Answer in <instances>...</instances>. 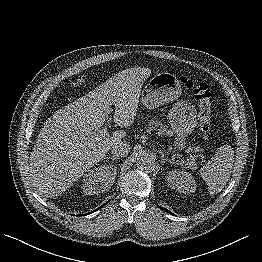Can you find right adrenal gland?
Returning a JSON list of instances; mask_svg holds the SVG:
<instances>
[{
  "label": "right adrenal gland",
  "instance_id": "obj_1",
  "mask_svg": "<svg viewBox=\"0 0 262 262\" xmlns=\"http://www.w3.org/2000/svg\"><path fill=\"white\" fill-rule=\"evenodd\" d=\"M104 159H111L112 162H114L115 160H117L118 158L114 157V156H109V157H106Z\"/></svg>",
  "mask_w": 262,
  "mask_h": 262
}]
</instances>
